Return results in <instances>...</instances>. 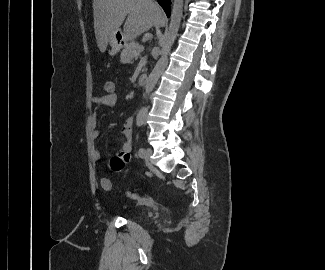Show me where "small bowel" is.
I'll list each match as a JSON object with an SVG mask.
<instances>
[{"label":"small bowel","mask_w":325,"mask_h":270,"mask_svg":"<svg viewBox=\"0 0 325 270\" xmlns=\"http://www.w3.org/2000/svg\"><path fill=\"white\" fill-rule=\"evenodd\" d=\"M117 102H118V96L116 94V91L113 96H108L106 93H104L101 96H95L92 98V103L95 107V113L93 114L91 119L92 139L96 140L100 136V132L97 129L96 112L103 107L113 108L117 105ZM132 126H133V120L131 118L127 119L122 126V134L124 137V141L121 145V151L116 156H114L110 161V168L114 172L121 171L130 159V154L132 152V133H133ZM92 157L96 161L100 160L101 153L98 148H93Z\"/></svg>","instance_id":"obj_1"}]
</instances>
